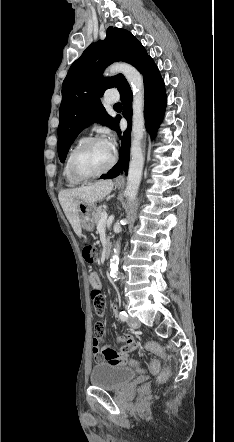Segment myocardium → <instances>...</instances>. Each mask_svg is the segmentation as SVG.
<instances>
[{
	"label": "myocardium",
	"mask_w": 234,
	"mask_h": 442,
	"mask_svg": "<svg viewBox=\"0 0 234 442\" xmlns=\"http://www.w3.org/2000/svg\"><path fill=\"white\" fill-rule=\"evenodd\" d=\"M101 141H105V139L101 136H92V137H88L86 139H84L80 144H78L73 151L70 154L69 157V161H68V165H69V170L72 174V176L79 180V181H88L91 179H95L98 178L100 176H103L104 174L108 173L116 164V160H117V156L116 154L113 152L112 153V158L109 162V164L101 171L94 173V174H82L80 173L76 167H75V158L78 155V153L80 151H82L84 148H86L87 146H89L90 144L96 143V142H101Z\"/></svg>",
	"instance_id": "1"
}]
</instances>
